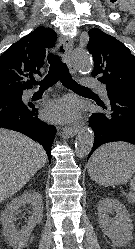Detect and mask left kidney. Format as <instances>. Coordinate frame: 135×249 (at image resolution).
Instances as JSON below:
<instances>
[{"label":"left kidney","mask_w":135,"mask_h":249,"mask_svg":"<svg viewBox=\"0 0 135 249\" xmlns=\"http://www.w3.org/2000/svg\"><path fill=\"white\" fill-rule=\"evenodd\" d=\"M116 212L114 218L110 215ZM99 225L102 232L116 246H126L133 238V225L125 206L113 198H104L98 203Z\"/></svg>","instance_id":"left-kidney-1"}]
</instances>
